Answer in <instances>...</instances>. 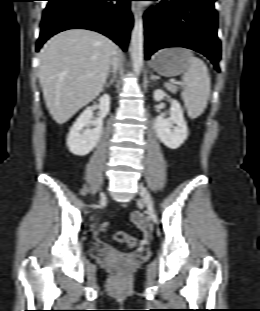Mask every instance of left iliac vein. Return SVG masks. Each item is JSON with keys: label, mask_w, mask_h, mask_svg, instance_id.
<instances>
[{"label": "left iliac vein", "mask_w": 260, "mask_h": 311, "mask_svg": "<svg viewBox=\"0 0 260 311\" xmlns=\"http://www.w3.org/2000/svg\"><path fill=\"white\" fill-rule=\"evenodd\" d=\"M138 189H139V194L141 196V199L144 202L148 213H153L154 212L153 201H152L149 191L141 184L138 186Z\"/></svg>", "instance_id": "obj_1"}]
</instances>
